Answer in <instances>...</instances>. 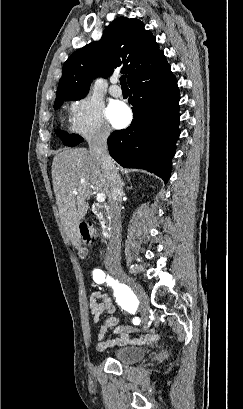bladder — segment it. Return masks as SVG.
<instances>
[{"instance_id": "obj_1", "label": "bladder", "mask_w": 243, "mask_h": 409, "mask_svg": "<svg viewBox=\"0 0 243 409\" xmlns=\"http://www.w3.org/2000/svg\"><path fill=\"white\" fill-rule=\"evenodd\" d=\"M146 352L143 348L138 346H123L114 349L110 353V358L123 365L133 364L142 360Z\"/></svg>"}]
</instances>
